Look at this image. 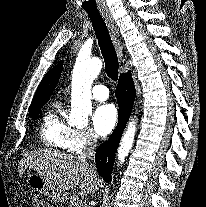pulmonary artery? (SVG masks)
<instances>
[{
	"label": "pulmonary artery",
	"instance_id": "pulmonary-artery-1",
	"mask_svg": "<svg viewBox=\"0 0 206 207\" xmlns=\"http://www.w3.org/2000/svg\"><path fill=\"white\" fill-rule=\"evenodd\" d=\"M92 96L96 100H105L109 97V90L104 85H95L92 89Z\"/></svg>",
	"mask_w": 206,
	"mask_h": 207
}]
</instances>
